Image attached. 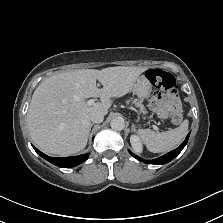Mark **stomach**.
<instances>
[{
    "mask_svg": "<svg viewBox=\"0 0 223 223\" xmlns=\"http://www.w3.org/2000/svg\"><path fill=\"white\" fill-rule=\"evenodd\" d=\"M152 84L145 76H140L136 79L132 86V91L135 95L139 94L142 97H147L151 92Z\"/></svg>",
    "mask_w": 223,
    "mask_h": 223,
    "instance_id": "1",
    "label": "stomach"
}]
</instances>
